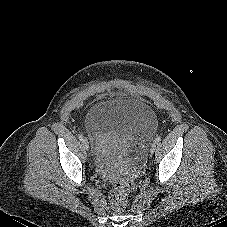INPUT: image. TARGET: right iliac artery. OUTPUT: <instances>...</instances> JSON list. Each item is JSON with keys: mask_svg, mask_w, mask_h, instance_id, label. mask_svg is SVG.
I'll use <instances>...</instances> for the list:
<instances>
[{"mask_svg": "<svg viewBox=\"0 0 227 227\" xmlns=\"http://www.w3.org/2000/svg\"><path fill=\"white\" fill-rule=\"evenodd\" d=\"M79 140L80 141H83L84 140V137L82 135L79 136Z\"/></svg>", "mask_w": 227, "mask_h": 227, "instance_id": "right-iliac-artery-1", "label": "right iliac artery"}]
</instances>
